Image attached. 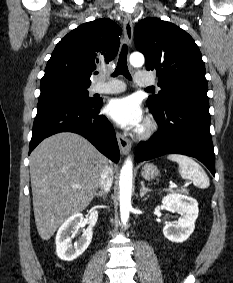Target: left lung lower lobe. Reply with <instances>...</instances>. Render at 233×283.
<instances>
[{
    "label": "left lung lower lobe",
    "mask_w": 233,
    "mask_h": 283,
    "mask_svg": "<svg viewBox=\"0 0 233 283\" xmlns=\"http://www.w3.org/2000/svg\"><path fill=\"white\" fill-rule=\"evenodd\" d=\"M148 107L159 131L148 142L138 144L135 160L141 162L164 154H183L200 160L215 176L208 99L191 96L178 98L162 109Z\"/></svg>",
    "instance_id": "0a47b994"
}]
</instances>
